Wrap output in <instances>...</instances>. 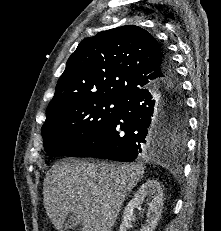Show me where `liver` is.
<instances>
[{
  "mask_svg": "<svg viewBox=\"0 0 221 231\" xmlns=\"http://www.w3.org/2000/svg\"><path fill=\"white\" fill-rule=\"evenodd\" d=\"M142 164L62 160L47 172L44 207L59 231L70 213L81 231H112L127 195L142 179Z\"/></svg>",
  "mask_w": 221,
  "mask_h": 231,
  "instance_id": "1",
  "label": "liver"
}]
</instances>
